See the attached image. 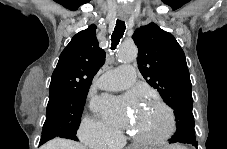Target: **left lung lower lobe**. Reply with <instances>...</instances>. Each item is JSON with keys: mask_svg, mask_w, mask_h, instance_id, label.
I'll list each match as a JSON object with an SVG mask.
<instances>
[{"mask_svg": "<svg viewBox=\"0 0 227 149\" xmlns=\"http://www.w3.org/2000/svg\"><path fill=\"white\" fill-rule=\"evenodd\" d=\"M170 143H187L197 147L198 142L196 141L195 133L189 134H175L171 139H169Z\"/></svg>", "mask_w": 227, "mask_h": 149, "instance_id": "obj_1", "label": "left lung lower lobe"}]
</instances>
